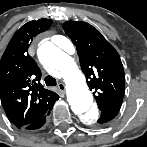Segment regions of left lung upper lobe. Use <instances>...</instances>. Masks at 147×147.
Masks as SVG:
<instances>
[{
    "label": "left lung upper lobe",
    "instance_id": "1",
    "mask_svg": "<svg viewBox=\"0 0 147 147\" xmlns=\"http://www.w3.org/2000/svg\"><path fill=\"white\" fill-rule=\"evenodd\" d=\"M63 29L75 44L80 65L101 111L120 109L125 85L121 59L113 46L92 25L68 21Z\"/></svg>",
    "mask_w": 147,
    "mask_h": 147
}]
</instances>
